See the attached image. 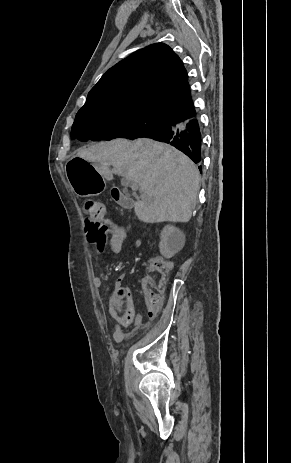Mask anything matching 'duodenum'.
I'll return each instance as SVG.
<instances>
[{"label": "duodenum", "instance_id": "410a0bca", "mask_svg": "<svg viewBox=\"0 0 291 463\" xmlns=\"http://www.w3.org/2000/svg\"><path fill=\"white\" fill-rule=\"evenodd\" d=\"M113 200L118 202L124 208H130L132 206V199L121 189L114 188L111 191Z\"/></svg>", "mask_w": 291, "mask_h": 463}]
</instances>
